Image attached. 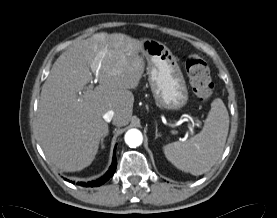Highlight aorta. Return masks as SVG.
I'll list each match as a JSON object with an SVG mask.
<instances>
[{"mask_svg":"<svg viewBox=\"0 0 277 218\" xmlns=\"http://www.w3.org/2000/svg\"><path fill=\"white\" fill-rule=\"evenodd\" d=\"M125 142L131 148H136L142 144L143 136L138 129H130L125 134Z\"/></svg>","mask_w":277,"mask_h":218,"instance_id":"aorta-1","label":"aorta"}]
</instances>
